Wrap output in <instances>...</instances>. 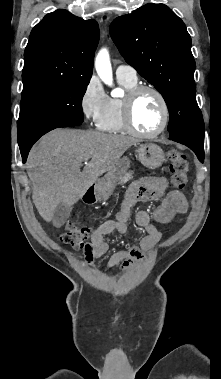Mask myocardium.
I'll list each match as a JSON object with an SVG mask.
<instances>
[{"instance_id": "1", "label": "myocardium", "mask_w": 221, "mask_h": 379, "mask_svg": "<svg viewBox=\"0 0 221 379\" xmlns=\"http://www.w3.org/2000/svg\"><path fill=\"white\" fill-rule=\"evenodd\" d=\"M144 92H151L153 93L157 99L159 100L161 110H162V120L159 128L153 132L146 133L142 132L139 129H137L134 118H133V108L134 104L137 100V98ZM170 119V111L169 106L166 101V98L162 94L160 90H158L156 87L151 85H136L135 87L128 90L127 94L123 98V120L125 127L128 132L132 133L135 136L141 137V138H155L162 134L165 129L167 128V125L169 123Z\"/></svg>"}]
</instances>
